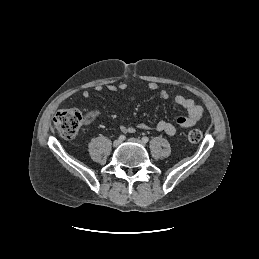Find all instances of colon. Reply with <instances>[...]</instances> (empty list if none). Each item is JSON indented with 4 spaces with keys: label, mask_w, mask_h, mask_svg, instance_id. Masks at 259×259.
<instances>
[{
    "label": "colon",
    "mask_w": 259,
    "mask_h": 259,
    "mask_svg": "<svg viewBox=\"0 0 259 259\" xmlns=\"http://www.w3.org/2000/svg\"><path fill=\"white\" fill-rule=\"evenodd\" d=\"M84 119V115L79 110L65 109L56 114L54 125L63 138L72 139L77 135ZM187 139L191 143H197L202 139V133L198 129H191L187 133Z\"/></svg>",
    "instance_id": "5ec220e1"
}]
</instances>
